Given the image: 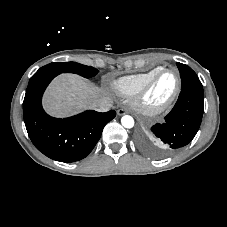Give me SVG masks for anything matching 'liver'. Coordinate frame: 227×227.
Instances as JSON below:
<instances>
[{
	"instance_id": "6515ba94",
	"label": "liver",
	"mask_w": 227,
	"mask_h": 227,
	"mask_svg": "<svg viewBox=\"0 0 227 227\" xmlns=\"http://www.w3.org/2000/svg\"><path fill=\"white\" fill-rule=\"evenodd\" d=\"M105 91L80 76L63 74L55 78L44 96L45 110L57 117L80 112L96 100L105 97Z\"/></svg>"
}]
</instances>
